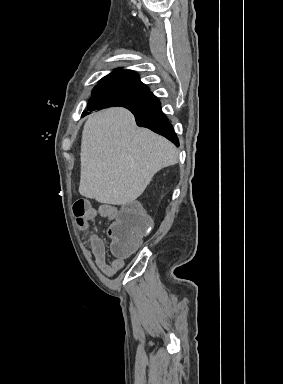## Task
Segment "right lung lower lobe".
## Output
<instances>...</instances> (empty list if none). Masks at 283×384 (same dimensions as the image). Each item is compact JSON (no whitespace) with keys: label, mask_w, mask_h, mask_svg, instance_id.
I'll return each mask as SVG.
<instances>
[{"label":"right lung lower lobe","mask_w":283,"mask_h":384,"mask_svg":"<svg viewBox=\"0 0 283 384\" xmlns=\"http://www.w3.org/2000/svg\"><path fill=\"white\" fill-rule=\"evenodd\" d=\"M135 116V120L138 126L146 127L152 131L166 137L177 146H179V140L174 132L173 126L169 123L167 117L161 110V104L157 100L153 105L139 109V108H127ZM92 111L91 109H88ZM97 110V109H96ZM89 114L84 111L83 115Z\"/></svg>","instance_id":"obj_1"}]
</instances>
